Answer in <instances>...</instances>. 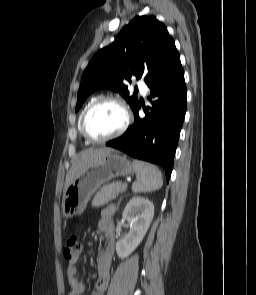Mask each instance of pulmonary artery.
Listing matches in <instances>:
<instances>
[{
	"label": "pulmonary artery",
	"mask_w": 256,
	"mask_h": 295,
	"mask_svg": "<svg viewBox=\"0 0 256 295\" xmlns=\"http://www.w3.org/2000/svg\"><path fill=\"white\" fill-rule=\"evenodd\" d=\"M137 85H138L139 89H140L143 93H146V91H147V86H146V84L144 83L143 80H138Z\"/></svg>",
	"instance_id": "obj_1"
}]
</instances>
